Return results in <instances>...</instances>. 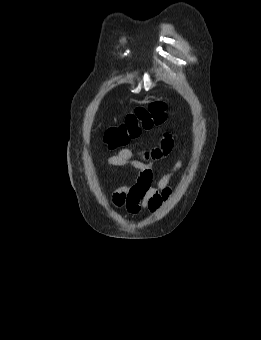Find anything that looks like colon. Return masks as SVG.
Here are the masks:
<instances>
[{
    "label": "colon",
    "mask_w": 261,
    "mask_h": 340,
    "mask_svg": "<svg viewBox=\"0 0 261 340\" xmlns=\"http://www.w3.org/2000/svg\"><path fill=\"white\" fill-rule=\"evenodd\" d=\"M167 105L154 102L145 107L136 108L123 122L109 127L104 133V142L110 149H115L137 138L142 130L151 129L167 119Z\"/></svg>",
    "instance_id": "colon-1"
}]
</instances>
